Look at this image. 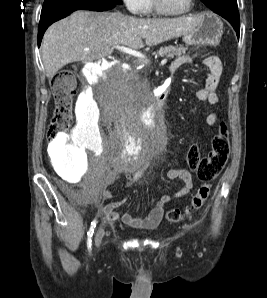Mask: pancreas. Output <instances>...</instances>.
Listing matches in <instances>:
<instances>
[{"mask_svg": "<svg viewBox=\"0 0 267 298\" xmlns=\"http://www.w3.org/2000/svg\"><path fill=\"white\" fill-rule=\"evenodd\" d=\"M187 49H188L187 47H181V46L178 47V46L169 45V46L161 47L159 49V51H157L156 54L158 56H167V57L173 58L174 56H181L182 54H184L187 51ZM137 63L145 64L144 61H139Z\"/></svg>", "mask_w": 267, "mask_h": 298, "instance_id": "pancreas-1", "label": "pancreas"}]
</instances>
